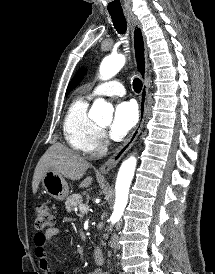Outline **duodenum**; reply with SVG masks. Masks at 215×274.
I'll use <instances>...</instances> for the list:
<instances>
[{
    "label": "duodenum",
    "mask_w": 215,
    "mask_h": 274,
    "mask_svg": "<svg viewBox=\"0 0 215 274\" xmlns=\"http://www.w3.org/2000/svg\"><path fill=\"white\" fill-rule=\"evenodd\" d=\"M93 258L97 265L104 264V253L101 248L97 247L94 249Z\"/></svg>",
    "instance_id": "410a0bca"
}]
</instances>
